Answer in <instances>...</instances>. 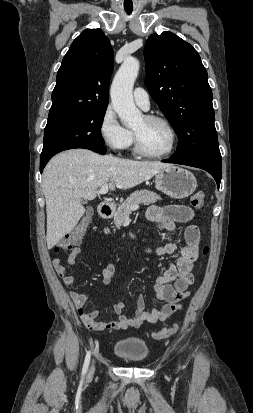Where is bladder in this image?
<instances>
[{
    "instance_id": "bladder-1",
    "label": "bladder",
    "mask_w": 253,
    "mask_h": 413,
    "mask_svg": "<svg viewBox=\"0 0 253 413\" xmlns=\"http://www.w3.org/2000/svg\"><path fill=\"white\" fill-rule=\"evenodd\" d=\"M114 355L126 363H142L149 356L146 344L137 341H124L115 345Z\"/></svg>"
}]
</instances>
